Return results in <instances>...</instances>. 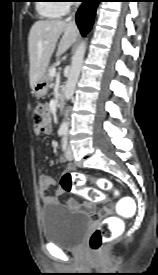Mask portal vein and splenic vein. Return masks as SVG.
<instances>
[{
    "instance_id": "obj_1",
    "label": "portal vein and splenic vein",
    "mask_w": 158,
    "mask_h": 275,
    "mask_svg": "<svg viewBox=\"0 0 158 275\" xmlns=\"http://www.w3.org/2000/svg\"><path fill=\"white\" fill-rule=\"evenodd\" d=\"M50 75H51L52 77H54V76L56 75V69H55V68L51 69Z\"/></svg>"
}]
</instances>
